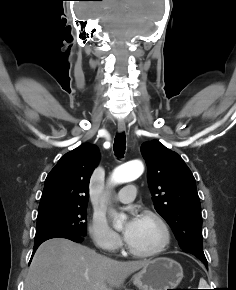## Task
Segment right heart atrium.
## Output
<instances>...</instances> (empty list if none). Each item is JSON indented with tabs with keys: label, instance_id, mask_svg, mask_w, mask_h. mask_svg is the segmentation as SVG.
Masks as SVG:
<instances>
[{
	"label": "right heart atrium",
	"instance_id": "1",
	"mask_svg": "<svg viewBox=\"0 0 236 290\" xmlns=\"http://www.w3.org/2000/svg\"><path fill=\"white\" fill-rule=\"evenodd\" d=\"M88 230L93 242L100 249L113 252L120 247V237L109 227L105 219L93 217Z\"/></svg>",
	"mask_w": 236,
	"mask_h": 290
}]
</instances>
